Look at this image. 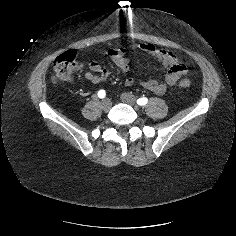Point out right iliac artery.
<instances>
[{"instance_id":"obj_1","label":"right iliac artery","mask_w":236,"mask_h":236,"mask_svg":"<svg viewBox=\"0 0 236 236\" xmlns=\"http://www.w3.org/2000/svg\"><path fill=\"white\" fill-rule=\"evenodd\" d=\"M97 95L99 98H104L106 96V92H105V90L102 89V90L98 91Z\"/></svg>"}]
</instances>
